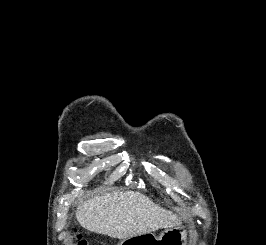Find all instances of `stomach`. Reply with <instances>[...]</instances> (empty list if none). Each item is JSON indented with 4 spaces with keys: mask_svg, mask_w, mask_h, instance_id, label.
Listing matches in <instances>:
<instances>
[{
    "mask_svg": "<svg viewBox=\"0 0 266 245\" xmlns=\"http://www.w3.org/2000/svg\"><path fill=\"white\" fill-rule=\"evenodd\" d=\"M159 245H186V233L182 227L166 229L160 237L155 233H135V237H126V242H157Z\"/></svg>",
    "mask_w": 266,
    "mask_h": 245,
    "instance_id": "1",
    "label": "stomach"
}]
</instances>
